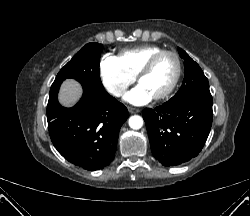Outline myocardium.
<instances>
[{"instance_id": "f54148a6", "label": "myocardium", "mask_w": 250, "mask_h": 216, "mask_svg": "<svg viewBox=\"0 0 250 216\" xmlns=\"http://www.w3.org/2000/svg\"><path fill=\"white\" fill-rule=\"evenodd\" d=\"M164 55H170L175 59L176 62V73L175 76L170 84V86L161 94L153 97L155 101H160L165 98H167L176 88L181 74H182V62L180 59V56L178 55L177 52L172 51V50H161L160 52L154 54L148 61L147 63L143 66V68L140 70V72L137 75V80L140 83L141 79L146 76L150 71L153 69L154 65L156 62Z\"/></svg>"}]
</instances>
